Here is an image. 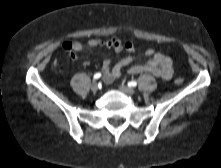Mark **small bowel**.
<instances>
[{"label": "small bowel", "mask_w": 221, "mask_h": 168, "mask_svg": "<svg viewBox=\"0 0 221 168\" xmlns=\"http://www.w3.org/2000/svg\"><path fill=\"white\" fill-rule=\"evenodd\" d=\"M105 45L112 48L116 53L126 51L129 53L128 56L124 57L117 63L113 64L110 59H105L102 63V74L106 83H111L116 78H119L122 74V70L129 66L136 55V47L132 42L122 43L118 38H111L108 41H100L97 39H91L85 43L78 41H68L63 44V48L70 54L72 59H76V52L89 47H97ZM142 56H147L150 59L144 64H135L129 67V73L140 74V73H151L152 75L162 79L169 80L173 75V61L164 53L158 52L154 49H147L144 51ZM88 61H84V65H88Z\"/></svg>", "instance_id": "c3829d8e"}]
</instances>
